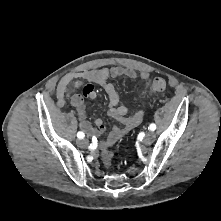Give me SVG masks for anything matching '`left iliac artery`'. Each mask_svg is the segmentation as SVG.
I'll list each match as a JSON object with an SVG mask.
<instances>
[{"label":"left iliac artery","instance_id":"obj_1","mask_svg":"<svg viewBox=\"0 0 221 221\" xmlns=\"http://www.w3.org/2000/svg\"><path fill=\"white\" fill-rule=\"evenodd\" d=\"M149 129L154 131L156 129V125L154 123L150 124Z\"/></svg>","mask_w":221,"mask_h":221}]
</instances>
